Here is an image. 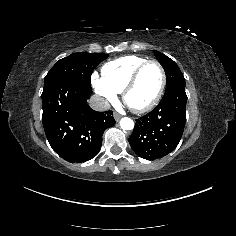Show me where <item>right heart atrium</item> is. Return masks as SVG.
I'll use <instances>...</instances> for the list:
<instances>
[{"instance_id":"1","label":"right heart atrium","mask_w":236,"mask_h":236,"mask_svg":"<svg viewBox=\"0 0 236 236\" xmlns=\"http://www.w3.org/2000/svg\"><path fill=\"white\" fill-rule=\"evenodd\" d=\"M91 86L102 103H113L116 100L117 93L112 91L96 72H93L91 75Z\"/></svg>"}]
</instances>
